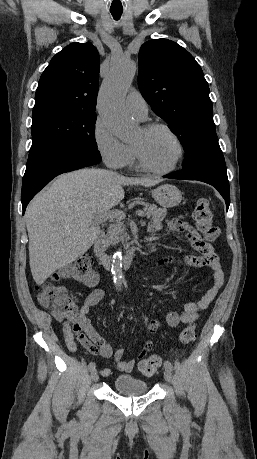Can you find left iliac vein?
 <instances>
[{"label":"left iliac vein","instance_id":"obj_1","mask_svg":"<svg viewBox=\"0 0 257 459\" xmlns=\"http://www.w3.org/2000/svg\"><path fill=\"white\" fill-rule=\"evenodd\" d=\"M164 378L167 382L171 383L172 381V376H171V370L165 368L164 370Z\"/></svg>","mask_w":257,"mask_h":459}]
</instances>
